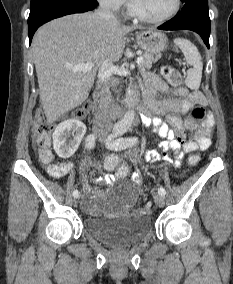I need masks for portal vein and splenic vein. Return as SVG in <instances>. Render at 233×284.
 Instances as JSON below:
<instances>
[{
  "label": "portal vein and splenic vein",
  "mask_w": 233,
  "mask_h": 284,
  "mask_svg": "<svg viewBox=\"0 0 233 284\" xmlns=\"http://www.w3.org/2000/svg\"><path fill=\"white\" fill-rule=\"evenodd\" d=\"M143 62V58L142 57H138L136 59V63L137 64H141ZM93 67V63H84V64H80V65H76L71 67V69L73 71H82V72H87L90 71Z\"/></svg>",
  "instance_id": "18ae733b"
}]
</instances>
